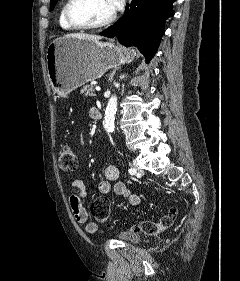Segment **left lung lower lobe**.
Wrapping results in <instances>:
<instances>
[{"instance_id":"obj_1","label":"left lung lower lobe","mask_w":240,"mask_h":281,"mask_svg":"<svg viewBox=\"0 0 240 281\" xmlns=\"http://www.w3.org/2000/svg\"><path fill=\"white\" fill-rule=\"evenodd\" d=\"M175 0H132L123 17L100 33L125 45L136 46L148 63L157 52L167 18L174 15Z\"/></svg>"}]
</instances>
